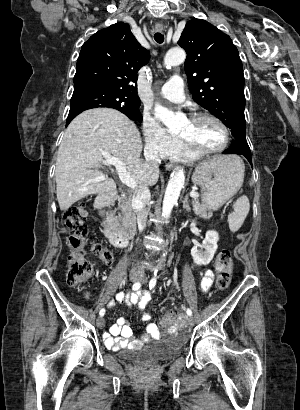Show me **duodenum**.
Here are the masks:
<instances>
[{"mask_svg":"<svg viewBox=\"0 0 300 410\" xmlns=\"http://www.w3.org/2000/svg\"><path fill=\"white\" fill-rule=\"evenodd\" d=\"M112 196L101 198L97 202V212L104 220L103 233L109 243L116 248L127 247L131 238L117 230L114 208L109 204Z\"/></svg>","mask_w":300,"mask_h":410,"instance_id":"410a0bca","label":"duodenum"}]
</instances>
